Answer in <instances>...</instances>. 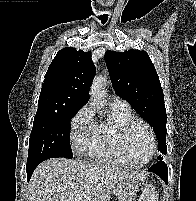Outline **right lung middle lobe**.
Masks as SVG:
<instances>
[{
    "label": "right lung middle lobe",
    "instance_id": "dd1d6c3e",
    "mask_svg": "<svg viewBox=\"0 0 196 201\" xmlns=\"http://www.w3.org/2000/svg\"><path fill=\"white\" fill-rule=\"evenodd\" d=\"M80 108L62 111L37 110L29 140L27 165L49 158H72L69 123Z\"/></svg>",
    "mask_w": 196,
    "mask_h": 201
}]
</instances>
